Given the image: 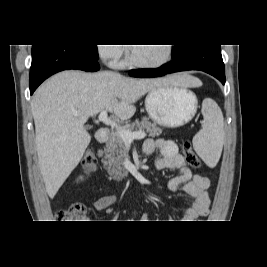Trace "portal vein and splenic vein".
I'll list each match as a JSON object with an SVG mask.
<instances>
[{
    "mask_svg": "<svg viewBox=\"0 0 267 267\" xmlns=\"http://www.w3.org/2000/svg\"><path fill=\"white\" fill-rule=\"evenodd\" d=\"M98 120L103 122L107 126L115 128L124 142H132L134 139H143L146 134L143 131L131 132L122 128L116 121L108 117L107 111L103 110L99 116Z\"/></svg>",
    "mask_w": 267,
    "mask_h": 267,
    "instance_id": "portal-vein-and-splenic-vein-1",
    "label": "portal vein and splenic vein"
}]
</instances>
